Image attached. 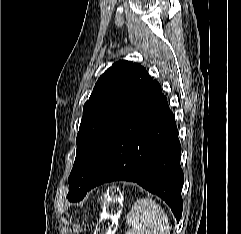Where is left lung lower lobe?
Segmentation results:
<instances>
[{
  "label": "left lung lower lobe",
  "mask_w": 241,
  "mask_h": 234,
  "mask_svg": "<svg viewBox=\"0 0 241 234\" xmlns=\"http://www.w3.org/2000/svg\"><path fill=\"white\" fill-rule=\"evenodd\" d=\"M181 145L174 115L153 81L112 141L87 191L110 181H133L161 197L179 222L182 215Z\"/></svg>",
  "instance_id": "obj_1"
}]
</instances>
